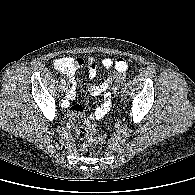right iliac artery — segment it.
Segmentation results:
<instances>
[{
  "label": "right iliac artery",
  "instance_id": "1",
  "mask_svg": "<svg viewBox=\"0 0 195 195\" xmlns=\"http://www.w3.org/2000/svg\"><path fill=\"white\" fill-rule=\"evenodd\" d=\"M60 83H61L62 85H65L64 79H61V80H60Z\"/></svg>",
  "mask_w": 195,
  "mask_h": 195
}]
</instances>
